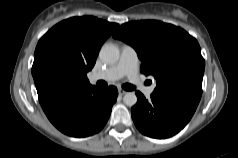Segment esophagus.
Returning a JSON list of instances; mask_svg holds the SVG:
<instances>
[{
  "label": "esophagus",
  "instance_id": "esophagus-1",
  "mask_svg": "<svg viewBox=\"0 0 238 158\" xmlns=\"http://www.w3.org/2000/svg\"><path fill=\"white\" fill-rule=\"evenodd\" d=\"M118 93H119V95L122 96V95L126 94L127 92L123 89H118Z\"/></svg>",
  "mask_w": 238,
  "mask_h": 158
}]
</instances>
